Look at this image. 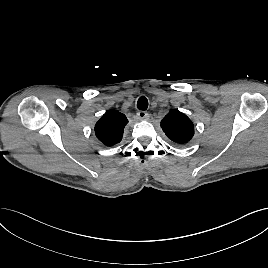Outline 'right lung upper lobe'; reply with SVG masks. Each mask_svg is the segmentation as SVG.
Returning a JSON list of instances; mask_svg holds the SVG:
<instances>
[{
  "instance_id": "obj_1",
  "label": "right lung upper lobe",
  "mask_w": 268,
  "mask_h": 268,
  "mask_svg": "<svg viewBox=\"0 0 268 268\" xmlns=\"http://www.w3.org/2000/svg\"><path fill=\"white\" fill-rule=\"evenodd\" d=\"M127 123L124 114L109 110L96 123L95 135L104 145L114 146L121 141Z\"/></svg>"
}]
</instances>
